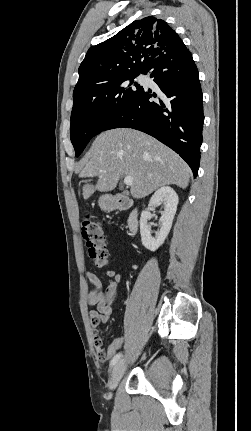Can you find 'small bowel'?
I'll list each match as a JSON object with an SVG mask.
<instances>
[{"label":"small bowel","instance_id":"1","mask_svg":"<svg viewBox=\"0 0 251 431\" xmlns=\"http://www.w3.org/2000/svg\"><path fill=\"white\" fill-rule=\"evenodd\" d=\"M106 276L109 278L108 284L106 290L102 292V283L98 276L92 272L87 273V278L92 284V288L88 294V303L96 307L89 312L90 323L93 329L94 345L97 349L95 357L99 359L102 365L108 362L106 358L107 349H102V338L99 336L97 329L101 324L109 322L112 314V306L117 300L121 281V275L114 269H107ZM112 329L113 328L110 327L107 333L110 334Z\"/></svg>","mask_w":251,"mask_h":431}]
</instances>
